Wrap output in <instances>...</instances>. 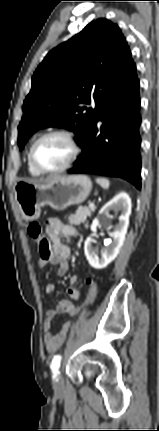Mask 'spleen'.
<instances>
[{
  "label": "spleen",
  "mask_w": 159,
  "mask_h": 431,
  "mask_svg": "<svg viewBox=\"0 0 159 431\" xmlns=\"http://www.w3.org/2000/svg\"><path fill=\"white\" fill-rule=\"evenodd\" d=\"M96 182L104 189H108L110 186V181L106 178H96Z\"/></svg>",
  "instance_id": "3e777b00"
}]
</instances>
